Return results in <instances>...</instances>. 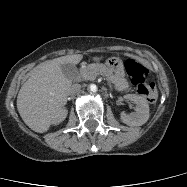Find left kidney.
Returning a JSON list of instances; mask_svg holds the SVG:
<instances>
[{"mask_svg":"<svg viewBox=\"0 0 187 187\" xmlns=\"http://www.w3.org/2000/svg\"><path fill=\"white\" fill-rule=\"evenodd\" d=\"M125 99L133 101L136 104V112L130 115L122 113V122L130 126H141L145 124L149 119V105L147 100L135 94H128L125 96Z\"/></svg>","mask_w":187,"mask_h":187,"instance_id":"obj_1","label":"left kidney"}]
</instances>
